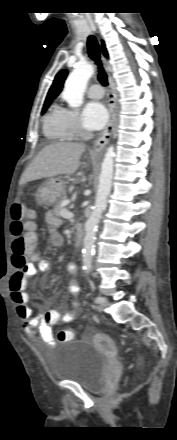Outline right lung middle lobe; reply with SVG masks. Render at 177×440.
<instances>
[{
    "mask_svg": "<svg viewBox=\"0 0 177 440\" xmlns=\"http://www.w3.org/2000/svg\"><path fill=\"white\" fill-rule=\"evenodd\" d=\"M49 104H50L49 102L44 103V105H43V109H42V112H41L42 114L45 113V111L48 109Z\"/></svg>",
    "mask_w": 177,
    "mask_h": 440,
    "instance_id": "right-lung-middle-lobe-1",
    "label": "right lung middle lobe"
}]
</instances>
